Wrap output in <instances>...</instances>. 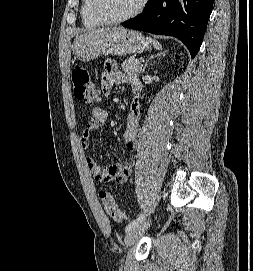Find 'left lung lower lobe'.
<instances>
[{
  "instance_id": "obj_1",
  "label": "left lung lower lobe",
  "mask_w": 253,
  "mask_h": 271,
  "mask_svg": "<svg viewBox=\"0 0 253 271\" xmlns=\"http://www.w3.org/2000/svg\"><path fill=\"white\" fill-rule=\"evenodd\" d=\"M214 0H149L144 12L124 27L170 35L181 40L192 58L197 54L206 31Z\"/></svg>"
}]
</instances>
